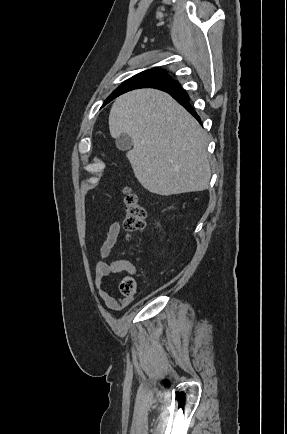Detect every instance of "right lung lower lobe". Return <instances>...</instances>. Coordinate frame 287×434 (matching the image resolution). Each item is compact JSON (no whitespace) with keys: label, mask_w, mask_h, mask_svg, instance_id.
<instances>
[{"label":"right lung lower lobe","mask_w":287,"mask_h":434,"mask_svg":"<svg viewBox=\"0 0 287 434\" xmlns=\"http://www.w3.org/2000/svg\"><path fill=\"white\" fill-rule=\"evenodd\" d=\"M169 93L175 100H177L182 106H184L199 122L200 118L196 111L191 107L189 103L188 94L181 88L178 82H172L163 88H158Z\"/></svg>","instance_id":"98d812e1"}]
</instances>
